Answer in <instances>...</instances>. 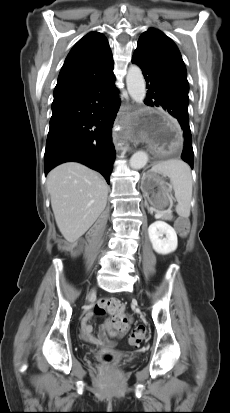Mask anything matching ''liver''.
<instances>
[{
    "label": "liver",
    "instance_id": "obj_1",
    "mask_svg": "<svg viewBox=\"0 0 230 413\" xmlns=\"http://www.w3.org/2000/svg\"><path fill=\"white\" fill-rule=\"evenodd\" d=\"M47 189L56 224L68 242L78 240L97 220L107 203L108 185L94 170L68 162L51 170Z\"/></svg>",
    "mask_w": 230,
    "mask_h": 413
}]
</instances>
